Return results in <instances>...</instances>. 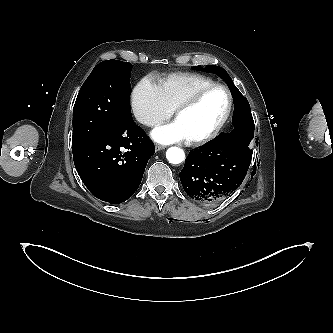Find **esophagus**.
<instances>
[{
  "mask_svg": "<svg viewBox=\"0 0 333 333\" xmlns=\"http://www.w3.org/2000/svg\"><path fill=\"white\" fill-rule=\"evenodd\" d=\"M163 149H165V146H162V145H156L155 146L156 151H160V150H163Z\"/></svg>",
  "mask_w": 333,
  "mask_h": 333,
  "instance_id": "obj_1",
  "label": "esophagus"
}]
</instances>
